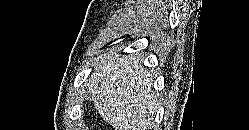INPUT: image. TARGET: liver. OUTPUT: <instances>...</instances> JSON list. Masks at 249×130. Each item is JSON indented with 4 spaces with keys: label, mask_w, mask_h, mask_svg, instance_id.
<instances>
[{
    "label": "liver",
    "mask_w": 249,
    "mask_h": 130,
    "mask_svg": "<svg viewBox=\"0 0 249 130\" xmlns=\"http://www.w3.org/2000/svg\"><path fill=\"white\" fill-rule=\"evenodd\" d=\"M154 79L134 56H108L89 78L94 107L115 130H151L158 101Z\"/></svg>",
    "instance_id": "obj_1"
}]
</instances>
